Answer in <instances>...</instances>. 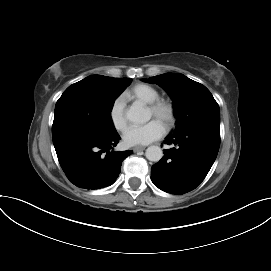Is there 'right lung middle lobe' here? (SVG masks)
Wrapping results in <instances>:
<instances>
[{"mask_svg": "<svg viewBox=\"0 0 271 271\" xmlns=\"http://www.w3.org/2000/svg\"><path fill=\"white\" fill-rule=\"evenodd\" d=\"M131 81L93 75L69 86L55 106L53 143L83 131L115 132L110 112L116 98Z\"/></svg>", "mask_w": 271, "mask_h": 271, "instance_id": "1", "label": "right lung middle lobe"}]
</instances>
